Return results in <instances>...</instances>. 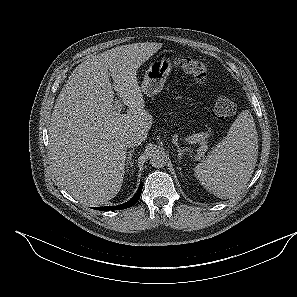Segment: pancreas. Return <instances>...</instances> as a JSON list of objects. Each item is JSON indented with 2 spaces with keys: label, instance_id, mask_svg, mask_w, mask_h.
<instances>
[{
  "label": "pancreas",
  "instance_id": "cf45deb5",
  "mask_svg": "<svg viewBox=\"0 0 297 297\" xmlns=\"http://www.w3.org/2000/svg\"><path fill=\"white\" fill-rule=\"evenodd\" d=\"M208 136L207 133H198V134H194L192 136L189 137L190 140H192L194 143H204L205 142V138Z\"/></svg>",
  "mask_w": 297,
  "mask_h": 297
}]
</instances>
